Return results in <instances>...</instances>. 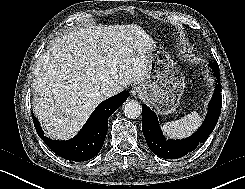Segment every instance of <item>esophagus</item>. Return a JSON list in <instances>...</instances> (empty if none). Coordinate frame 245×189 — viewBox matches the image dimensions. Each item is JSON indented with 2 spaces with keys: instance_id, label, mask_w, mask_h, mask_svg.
<instances>
[{
  "instance_id": "34e87169",
  "label": "esophagus",
  "mask_w": 245,
  "mask_h": 189,
  "mask_svg": "<svg viewBox=\"0 0 245 189\" xmlns=\"http://www.w3.org/2000/svg\"><path fill=\"white\" fill-rule=\"evenodd\" d=\"M131 94L133 97L137 98V97L141 96L142 90L140 87L135 86L132 88Z\"/></svg>"
}]
</instances>
